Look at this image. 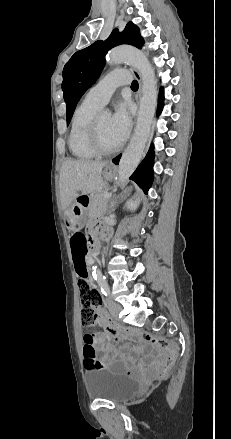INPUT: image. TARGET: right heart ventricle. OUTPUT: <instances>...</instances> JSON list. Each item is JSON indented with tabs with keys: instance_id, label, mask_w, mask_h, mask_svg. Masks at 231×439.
<instances>
[{
	"instance_id": "1",
	"label": "right heart ventricle",
	"mask_w": 231,
	"mask_h": 439,
	"mask_svg": "<svg viewBox=\"0 0 231 439\" xmlns=\"http://www.w3.org/2000/svg\"><path fill=\"white\" fill-rule=\"evenodd\" d=\"M100 107L84 99L73 113L67 143L71 154L77 159L89 160L96 156L89 143L88 131L90 122Z\"/></svg>"
}]
</instances>
